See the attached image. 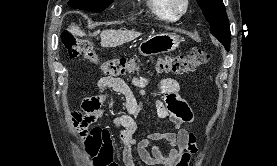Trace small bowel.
I'll return each mask as SVG.
<instances>
[{
	"mask_svg": "<svg viewBox=\"0 0 277 166\" xmlns=\"http://www.w3.org/2000/svg\"><path fill=\"white\" fill-rule=\"evenodd\" d=\"M149 79L134 77L132 86L138 95L150 99L146 91ZM110 89L124 98L125 113H120L112 119L113 126L119 130V142L122 149L124 166H135L134 152L142 162L151 166H188L197 153L196 136L191 130L194 120L193 112L179 95V84L176 80L166 78L158 85V96L154 108L160 120H168L173 130L157 131L137 137L138 124L136 117L143 109V103L136 98L131 86L121 78L103 77L97 83L96 95L82 102V111L72 114V123L77 122L79 113L90 126L102 116V104L106 98L105 91ZM85 137L87 154L92 158L94 166H120L114 161L115 140L106 127H93ZM167 142L171 149L165 154L158 142Z\"/></svg>",
	"mask_w": 277,
	"mask_h": 166,
	"instance_id": "small-bowel-1",
	"label": "small bowel"
}]
</instances>
